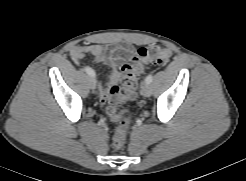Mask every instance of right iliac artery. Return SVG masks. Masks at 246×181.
<instances>
[{
  "label": "right iliac artery",
  "mask_w": 246,
  "mask_h": 181,
  "mask_svg": "<svg viewBox=\"0 0 246 181\" xmlns=\"http://www.w3.org/2000/svg\"><path fill=\"white\" fill-rule=\"evenodd\" d=\"M84 70H85V72H86L89 76H91V77H95V76H96L95 71H94L92 68H90V67H85Z\"/></svg>",
  "instance_id": "right-iliac-artery-1"
}]
</instances>
